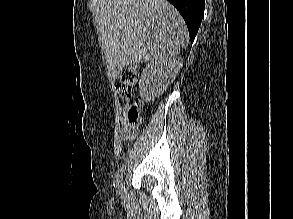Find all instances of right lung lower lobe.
<instances>
[{
	"label": "right lung lower lobe",
	"instance_id": "obj_1",
	"mask_svg": "<svg viewBox=\"0 0 293 219\" xmlns=\"http://www.w3.org/2000/svg\"><path fill=\"white\" fill-rule=\"evenodd\" d=\"M172 3L183 16L188 30L190 40L193 42L201 24L205 0H168Z\"/></svg>",
	"mask_w": 293,
	"mask_h": 219
}]
</instances>
